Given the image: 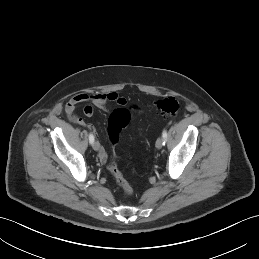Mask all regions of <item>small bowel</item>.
I'll use <instances>...</instances> for the list:
<instances>
[{"label": "small bowel", "mask_w": 259, "mask_h": 259, "mask_svg": "<svg viewBox=\"0 0 259 259\" xmlns=\"http://www.w3.org/2000/svg\"><path fill=\"white\" fill-rule=\"evenodd\" d=\"M81 102H88L91 103L92 105L106 110L107 105L109 103H114L117 104L121 107H125L127 105V100L120 96L116 92H102V93H79L73 96L69 102V109L67 110L68 112L73 111L74 107L76 104L81 103ZM84 113L87 116H91L93 114V108L90 105H87L84 107ZM78 124L84 125V122L82 120L77 121ZM99 160L101 162H105L107 159V152L103 147L99 148Z\"/></svg>", "instance_id": "c3829d8e"}]
</instances>
